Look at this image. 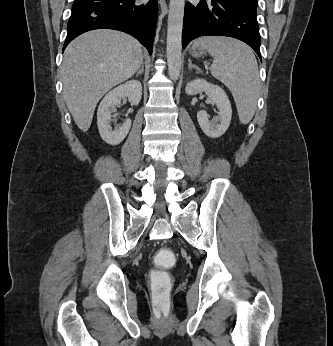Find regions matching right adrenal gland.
<instances>
[{
  "instance_id": "obj_1",
  "label": "right adrenal gland",
  "mask_w": 333,
  "mask_h": 346,
  "mask_svg": "<svg viewBox=\"0 0 333 346\" xmlns=\"http://www.w3.org/2000/svg\"><path fill=\"white\" fill-rule=\"evenodd\" d=\"M144 71V64L142 63L141 68L138 70L136 77H138L140 74H143Z\"/></svg>"
}]
</instances>
